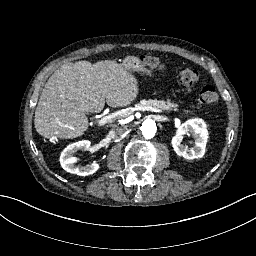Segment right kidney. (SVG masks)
Instances as JSON below:
<instances>
[{"label": "right kidney", "mask_w": 256, "mask_h": 256, "mask_svg": "<svg viewBox=\"0 0 256 256\" xmlns=\"http://www.w3.org/2000/svg\"><path fill=\"white\" fill-rule=\"evenodd\" d=\"M90 147L91 141L89 140H81L67 146L61 153V167L65 171L79 176H87L96 173L100 168V164L98 162H92L87 164L86 166H77L75 163L78 161V159L72 157V154L75 153L77 150L86 151L89 150Z\"/></svg>", "instance_id": "1"}]
</instances>
